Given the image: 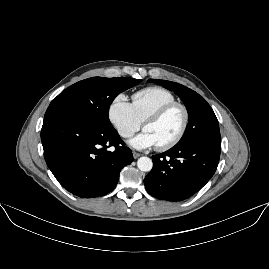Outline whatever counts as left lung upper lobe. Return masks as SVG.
Here are the masks:
<instances>
[{"instance_id":"left-lung-upper-lobe-1","label":"left lung upper lobe","mask_w":269,"mask_h":269,"mask_svg":"<svg viewBox=\"0 0 269 269\" xmlns=\"http://www.w3.org/2000/svg\"><path fill=\"white\" fill-rule=\"evenodd\" d=\"M148 81L174 91L187 108L189 123L178 145H190L202 141L221 144L218 120L212 108L202 96L175 82L158 79H149Z\"/></svg>"}]
</instances>
